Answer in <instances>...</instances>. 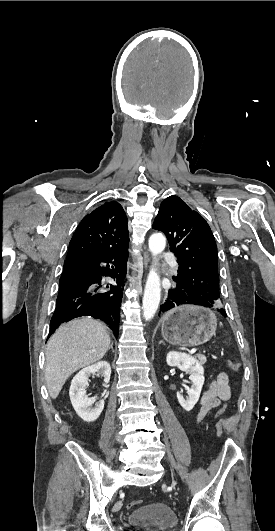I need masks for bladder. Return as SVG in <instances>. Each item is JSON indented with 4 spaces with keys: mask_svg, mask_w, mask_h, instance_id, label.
<instances>
[{
    "mask_svg": "<svg viewBox=\"0 0 275 531\" xmlns=\"http://www.w3.org/2000/svg\"><path fill=\"white\" fill-rule=\"evenodd\" d=\"M129 522L136 531H167L178 520L168 504L145 503L131 512Z\"/></svg>",
    "mask_w": 275,
    "mask_h": 531,
    "instance_id": "1",
    "label": "bladder"
}]
</instances>
